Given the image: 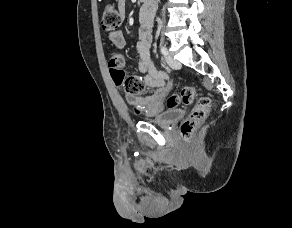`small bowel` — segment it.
Segmentation results:
<instances>
[{
  "mask_svg": "<svg viewBox=\"0 0 292 228\" xmlns=\"http://www.w3.org/2000/svg\"><path fill=\"white\" fill-rule=\"evenodd\" d=\"M126 0H118L117 8L122 17L125 15ZM155 15L154 5H143L139 12L138 42L136 44L138 71L144 75L143 88L139 94L128 96L136 113L156 115L162 110V100L172 88L169 74L157 69L151 56L152 29ZM109 38L115 47L123 49L126 45L121 31H113Z\"/></svg>",
  "mask_w": 292,
  "mask_h": 228,
  "instance_id": "c3829d8e",
  "label": "small bowel"
}]
</instances>
